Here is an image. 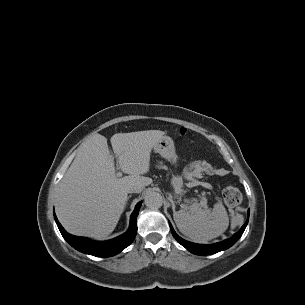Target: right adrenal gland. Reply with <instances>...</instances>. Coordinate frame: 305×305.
Masks as SVG:
<instances>
[{
	"mask_svg": "<svg viewBox=\"0 0 305 305\" xmlns=\"http://www.w3.org/2000/svg\"><path fill=\"white\" fill-rule=\"evenodd\" d=\"M130 197H131V195H130V196H128L127 200H128Z\"/></svg>",
	"mask_w": 305,
	"mask_h": 305,
	"instance_id": "2a0ac1e0",
	"label": "right adrenal gland"
}]
</instances>
